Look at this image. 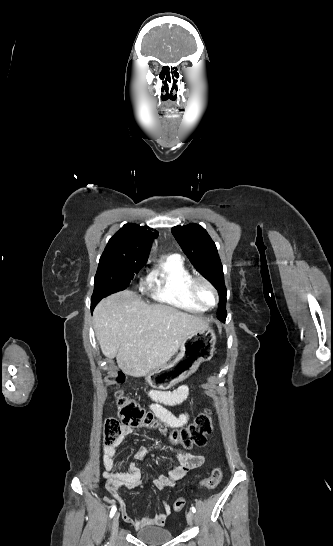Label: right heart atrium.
I'll return each instance as SVG.
<instances>
[{
	"label": "right heart atrium",
	"instance_id": "obj_1",
	"mask_svg": "<svg viewBox=\"0 0 333 546\" xmlns=\"http://www.w3.org/2000/svg\"><path fill=\"white\" fill-rule=\"evenodd\" d=\"M151 284V275L148 274L140 280L139 287L142 291H146Z\"/></svg>",
	"mask_w": 333,
	"mask_h": 546
}]
</instances>
